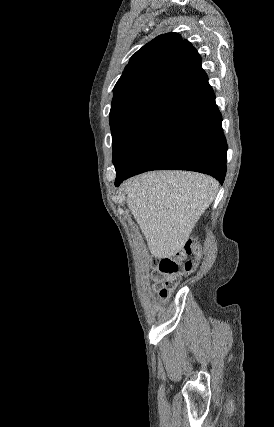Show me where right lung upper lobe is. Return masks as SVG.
Returning <instances> with one entry per match:
<instances>
[{
  "label": "right lung upper lobe",
  "mask_w": 274,
  "mask_h": 427,
  "mask_svg": "<svg viewBox=\"0 0 274 427\" xmlns=\"http://www.w3.org/2000/svg\"><path fill=\"white\" fill-rule=\"evenodd\" d=\"M207 84L201 58L191 43L176 33L163 34L130 58L114 87L111 110L151 95L177 103Z\"/></svg>",
  "instance_id": "cb5924a9"
}]
</instances>
